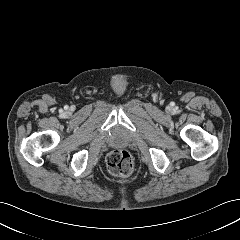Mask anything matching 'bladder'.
I'll use <instances>...</instances> for the list:
<instances>
[{
	"instance_id": "obj_1",
	"label": "bladder",
	"mask_w": 240,
	"mask_h": 240,
	"mask_svg": "<svg viewBox=\"0 0 240 240\" xmlns=\"http://www.w3.org/2000/svg\"><path fill=\"white\" fill-rule=\"evenodd\" d=\"M125 137L122 133L114 132V140L117 143H122L124 141Z\"/></svg>"
}]
</instances>
